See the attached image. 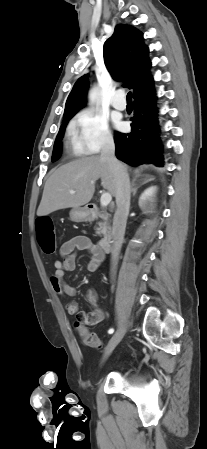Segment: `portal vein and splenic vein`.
I'll list each match as a JSON object with an SVG mask.
<instances>
[{"label":"portal vein and splenic vein","instance_id":"obj_1","mask_svg":"<svg viewBox=\"0 0 207 449\" xmlns=\"http://www.w3.org/2000/svg\"><path fill=\"white\" fill-rule=\"evenodd\" d=\"M74 193H75V191H71V194H74ZM111 200H112L111 194L108 192H104L100 198L101 206H103V207L108 206V204H110Z\"/></svg>","mask_w":207,"mask_h":449}]
</instances>
